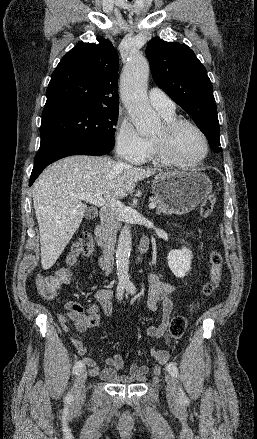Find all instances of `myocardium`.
Returning a JSON list of instances; mask_svg holds the SVG:
<instances>
[{
  "label": "myocardium",
  "mask_w": 257,
  "mask_h": 439,
  "mask_svg": "<svg viewBox=\"0 0 257 439\" xmlns=\"http://www.w3.org/2000/svg\"><path fill=\"white\" fill-rule=\"evenodd\" d=\"M162 127L163 134L152 137L157 156L160 160L172 164L178 168L189 169L200 165L206 159L210 151L209 140L204 131L197 124L186 119H175L172 121H165ZM183 127H190L194 129L199 134L204 144V151L202 155L197 160L192 162H182L175 159L169 149L170 139L178 130Z\"/></svg>",
  "instance_id": "f54148a6"
}]
</instances>
